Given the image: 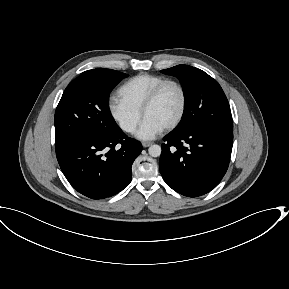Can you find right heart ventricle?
Instances as JSON below:
<instances>
[{
    "mask_svg": "<svg viewBox=\"0 0 289 289\" xmlns=\"http://www.w3.org/2000/svg\"><path fill=\"white\" fill-rule=\"evenodd\" d=\"M165 77L142 73L138 74L124 82L117 90V96L120 101L141 112L142 105L150 91Z\"/></svg>",
    "mask_w": 289,
    "mask_h": 289,
    "instance_id": "right-heart-ventricle-1",
    "label": "right heart ventricle"
}]
</instances>
